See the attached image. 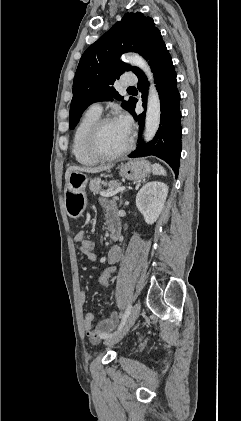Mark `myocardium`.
I'll list each match as a JSON object with an SVG mask.
<instances>
[{
    "label": "myocardium",
    "mask_w": 241,
    "mask_h": 421,
    "mask_svg": "<svg viewBox=\"0 0 241 421\" xmlns=\"http://www.w3.org/2000/svg\"><path fill=\"white\" fill-rule=\"evenodd\" d=\"M113 121H117L114 117L111 116H105V117H100L91 127L88 135H87V140H86V146H87V150L88 152L97 160L99 161H111V160H116L118 158L123 157L124 155H126L132 148V144H133V138L131 135H129V139L128 142L126 144V146L116 152V153H105L99 145V137H100V133L102 128Z\"/></svg>",
    "instance_id": "myocardium-1"
}]
</instances>
